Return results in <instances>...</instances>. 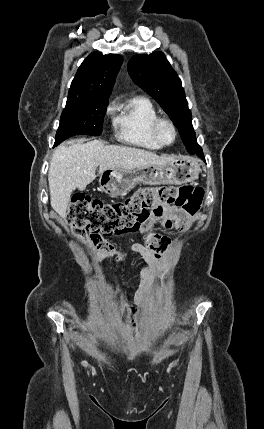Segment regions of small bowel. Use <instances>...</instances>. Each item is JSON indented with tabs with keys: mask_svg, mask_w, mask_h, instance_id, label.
<instances>
[{
	"mask_svg": "<svg viewBox=\"0 0 264 429\" xmlns=\"http://www.w3.org/2000/svg\"><path fill=\"white\" fill-rule=\"evenodd\" d=\"M190 222L191 217L177 207L163 206L160 211L152 213L150 218L143 223L141 232L145 242L143 244L134 243L130 248L132 253L140 255L149 266V269L143 274V289L139 293V301L144 299L153 281L155 262L170 246V240L166 236L153 232L154 226L160 224L168 229L182 230L187 228ZM74 235L90 252L94 261L113 260L118 262L129 255L128 251L116 248L103 238L93 239L84 232L74 233ZM133 312L134 309H129V314Z\"/></svg>",
	"mask_w": 264,
	"mask_h": 429,
	"instance_id": "small-bowel-1",
	"label": "small bowel"
}]
</instances>
